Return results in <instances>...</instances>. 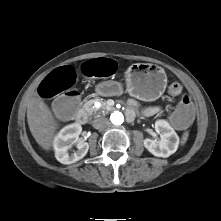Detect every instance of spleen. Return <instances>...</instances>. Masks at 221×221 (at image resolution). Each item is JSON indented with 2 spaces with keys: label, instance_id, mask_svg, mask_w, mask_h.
<instances>
[{
  "label": "spleen",
  "instance_id": "obj_1",
  "mask_svg": "<svg viewBox=\"0 0 221 221\" xmlns=\"http://www.w3.org/2000/svg\"><path fill=\"white\" fill-rule=\"evenodd\" d=\"M187 137H188V133L186 132V133H184V135H183V142H185V141L187 140Z\"/></svg>",
  "mask_w": 221,
  "mask_h": 221
}]
</instances>
